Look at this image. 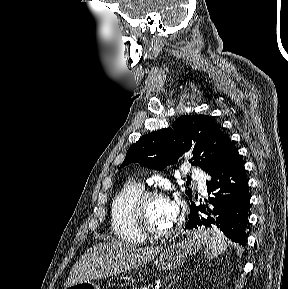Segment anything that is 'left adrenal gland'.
I'll return each instance as SVG.
<instances>
[{"mask_svg":"<svg viewBox=\"0 0 288 289\" xmlns=\"http://www.w3.org/2000/svg\"><path fill=\"white\" fill-rule=\"evenodd\" d=\"M181 275H178L176 276L175 278V275L173 276V281L166 287V289H169L171 287L172 284H174L179 278H180Z\"/></svg>","mask_w":288,"mask_h":289,"instance_id":"obj_1","label":"left adrenal gland"}]
</instances>
